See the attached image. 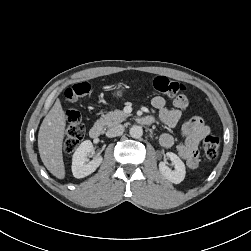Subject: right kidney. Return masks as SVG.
Segmentation results:
<instances>
[{
    "instance_id": "1",
    "label": "right kidney",
    "mask_w": 251,
    "mask_h": 251,
    "mask_svg": "<svg viewBox=\"0 0 251 251\" xmlns=\"http://www.w3.org/2000/svg\"><path fill=\"white\" fill-rule=\"evenodd\" d=\"M92 147V142L85 140L73 154L71 168L75 178H84L92 174L102 163L103 158L101 156L86 163L87 155L92 150Z\"/></svg>"
}]
</instances>
